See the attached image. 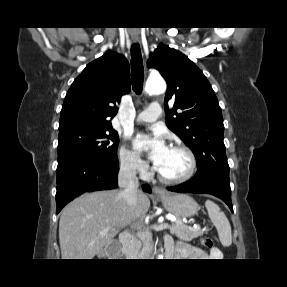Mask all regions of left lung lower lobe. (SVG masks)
<instances>
[{"label": "left lung lower lobe", "instance_id": "0a47b994", "mask_svg": "<svg viewBox=\"0 0 287 287\" xmlns=\"http://www.w3.org/2000/svg\"><path fill=\"white\" fill-rule=\"evenodd\" d=\"M168 190L178 193L211 194L223 200L233 212L231 202V188L229 179L215 176L201 179H191L183 184L167 187Z\"/></svg>", "mask_w": 287, "mask_h": 287}]
</instances>
